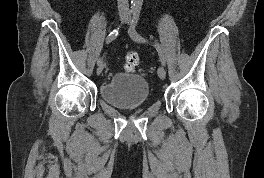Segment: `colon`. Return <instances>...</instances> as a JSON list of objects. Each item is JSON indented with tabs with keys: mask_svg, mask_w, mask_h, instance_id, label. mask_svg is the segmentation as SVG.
<instances>
[{
	"mask_svg": "<svg viewBox=\"0 0 264 178\" xmlns=\"http://www.w3.org/2000/svg\"><path fill=\"white\" fill-rule=\"evenodd\" d=\"M139 64V56L136 52H128L124 57V69L133 72Z\"/></svg>",
	"mask_w": 264,
	"mask_h": 178,
	"instance_id": "colon-1",
	"label": "colon"
}]
</instances>
